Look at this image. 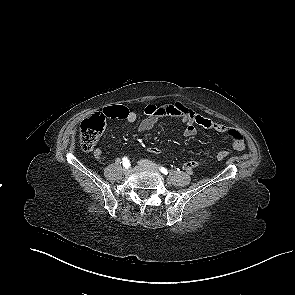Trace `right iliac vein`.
Wrapping results in <instances>:
<instances>
[{
	"mask_svg": "<svg viewBox=\"0 0 295 295\" xmlns=\"http://www.w3.org/2000/svg\"><path fill=\"white\" fill-rule=\"evenodd\" d=\"M129 172H130V169L129 168H125L124 169V174H129Z\"/></svg>",
	"mask_w": 295,
	"mask_h": 295,
	"instance_id": "right-iliac-vein-1",
	"label": "right iliac vein"
}]
</instances>
